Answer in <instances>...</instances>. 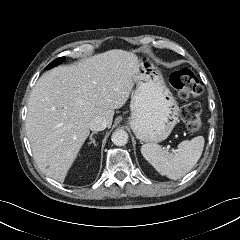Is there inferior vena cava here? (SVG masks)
I'll return each instance as SVG.
<instances>
[{"mask_svg": "<svg viewBox=\"0 0 240 240\" xmlns=\"http://www.w3.org/2000/svg\"><path fill=\"white\" fill-rule=\"evenodd\" d=\"M106 127H107V122L101 116H97V117L93 118L89 123V128L92 131H102Z\"/></svg>", "mask_w": 240, "mask_h": 240, "instance_id": "602c4592", "label": "inferior vena cava"}]
</instances>
